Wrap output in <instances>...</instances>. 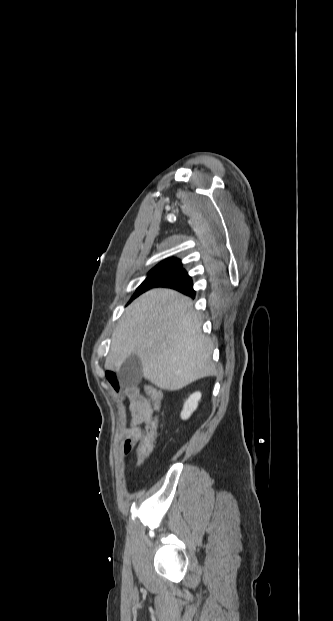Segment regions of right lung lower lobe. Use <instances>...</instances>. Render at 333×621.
<instances>
[{
  "instance_id": "1",
  "label": "right lung lower lobe",
  "mask_w": 333,
  "mask_h": 621,
  "mask_svg": "<svg viewBox=\"0 0 333 621\" xmlns=\"http://www.w3.org/2000/svg\"><path fill=\"white\" fill-rule=\"evenodd\" d=\"M153 287H168V288L178 290L192 298L195 297V291L193 290L192 279L183 268H180L174 273L166 277H163Z\"/></svg>"
}]
</instances>
